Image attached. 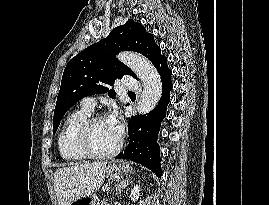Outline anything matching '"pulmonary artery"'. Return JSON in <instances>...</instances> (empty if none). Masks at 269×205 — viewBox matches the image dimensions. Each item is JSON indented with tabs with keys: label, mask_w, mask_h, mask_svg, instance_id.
<instances>
[{
	"label": "pulmonary artery",
	"mask_w": 269,
	"mask_h": 205,
	"mask_svg": "<svg viewBox=\"0 0 269 205\" xmlns=\"http://www.w3.org/2000/svg\"><path fill=\"white\" fill-rule=\"evenodd\" d=\"M138 82L133 77H124L122 79V87L127 90H137L138 89ZM81 107L89 112H93L96 106V98L93 96L85 97L80 102Z\"/></svg>",
	"instance_id": "1"
}]
</instances>
